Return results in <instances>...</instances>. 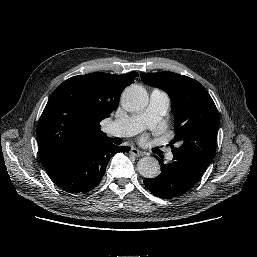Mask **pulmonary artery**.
Listing matches in <instances>:
<instances>
[{
	"mask_svg": "<svg viewBox=\"0 0 257 257\" xmlns=\"http://www.w3.org/2000/svg\"><path fill=\"white\" fill-rule=\"evenodd\" d=\"M169 106L168 95L162 90L154 89L150 94L149 104L145 110L138 114L111 121L107 126V132L119 137L135 135L144 128L156 125L167 113ZM166 158L171 160L173 154L168 152Z\"/></svg>",
	"mask_w": 257,
	"mask_h": 257,
	"instance_id": "pulmonary-artery-1",
	"label": "pulmonary artery"
}]
</instances>
